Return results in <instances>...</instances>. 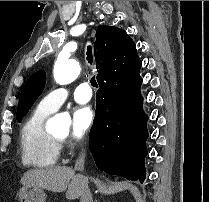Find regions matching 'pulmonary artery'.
Returning a JSON list of instances; mask_svg holds the SVG:
<instances>
[{
  "label": "pulmonary artery",
  "instance_id": "obj_1",
  "mask_svg": "<svg viewBox=\"0 0 209 202\" xmlns=\"http://www.w3.org/2000/svg\"><path fill=\"white\" fill-rule=\"evenodd\" d=\"M70 92L73 93L76 102L84 104L90 101L93 96L92 89L87 84H79L72 90L69 88H54L43 96L39 106L49 112L57 111L67 100Z\"/></svg>",
  "mask_w": 209,
  "mask_h": 202
}]
</instances>
